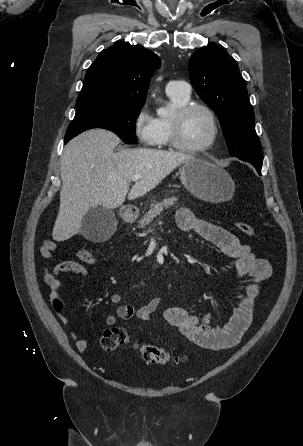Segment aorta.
Returning <instances> with one entry per match:
<instances>
[{
	"label": "aorta",
	"mask_w": 303,
	"mask_h": 446,
	"mask_svg": "<svg viewBox=\"0 0 303 446\" xmlns=\"http://www.w3.org/2000/svg\"><path fill=\"white\" fill-rule=\"evenodd\" d=\"M167 114V111L166 110H163L162 112H161V115H166Z\"/></svg>",
	"instance_id": "762f6f07"
}]
</instances>
